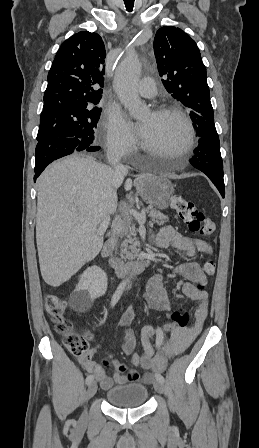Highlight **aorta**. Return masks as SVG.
I'll return each mask as SVG.
<instances>
[{
  "label": "aorta",
  "instance_id": "aorta-1",
  "mask_svg": "<svg viewBox=\"0 0 259 448\" xmlns=\"http://www.w3.org/2000/svg\"><path fill=\"white\" fill-rule=\"evenodd\" d=\"M140 72L141 65L138 58L128 56L118 66L114 79L117 96L133 118L140 117L146 110L137 93ZM124 282L127 283V280Z\"/></svg>",
  "mask_w": 259,
  "mask_h": 448
}]
</instances>
